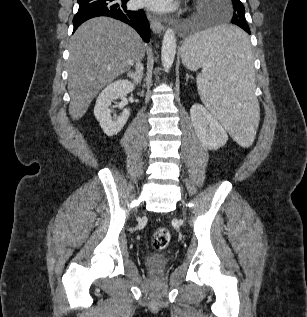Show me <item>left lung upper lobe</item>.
Wrapping results in <instances>:
<instances>
[{
    "label": "left lung upper lobe",
    "mask_w": 307,
    "mask_h": 317,
    "mask_svg": "<svg viewBox=\"0 0 307 317\" xmlns=\"http://www.w3.org/2000/svg\"><path fill=\"white\" fill-rule=\"evenodd\" d=\"M233 4V22L239 20L241 24L247 25L244 15V6L240 0H232ZM232 22V21H231Z\"/></svg>",
    "instance_id": "obj_1"
}]
</instances>
